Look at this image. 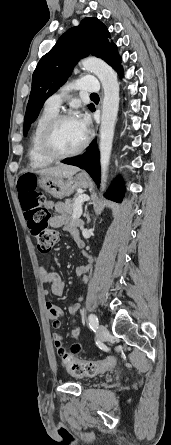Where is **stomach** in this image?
<instances>
[{
	"mask_svg": "<svg viewBox=\"0 0 171 445\" xmlns=\"http://www.w3.org/2000/svg\"><path fill=\"white\" fill-rule=\"evenodd\" d=\"M37 184L54 198L63 199L73 194L79 188H87L89 181L81 174L68 178L41 175L37 179Z\"/></svg>",
	"mask_w": 171,
	"mask_h": 445,
	"instance_id": "0dacf381",
	"label": "stomach"
}]
</instances>
